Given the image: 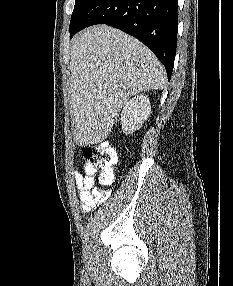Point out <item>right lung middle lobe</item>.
I'll return each mask as SVG.
<instances>
[{"mask_svg": "<svg viewBox=\"0 0 233 286\" xmlns=\"http://www.w3.org/2000/svg\"><path fill=\"white\" fill-rule=\"evenodd\" d=\"M90 2L91 0H75V6L71 16L69 28H72L78 22Z\"/></svg>", "mask_w": 233, "mask_h": 286, "instance_id": "1", "label": "right lung middle lobe"}]
</instances>
